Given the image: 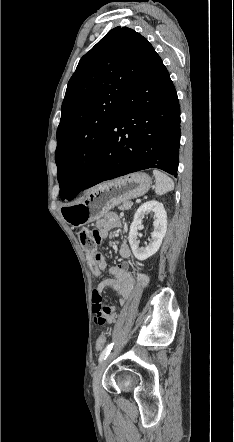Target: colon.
<instances>
[{
	"instance_id": "colon-1",
	"label": "colon",
	"mask_w": 234,
	"mask_h": 442,
	"mask_svg": "<svg viewBox=\"0 0 234 442\" xmlns=\"http://www.w3.org/2000/svg\"><path fill=\"white\" fill-rule=\"evenodd\" d=\"M80 241L81 244L86 252L92 255H97L96 252L97 246L100 243V238L98 235L97 230H89V229H83L80 231ZM92 271L95 275H99L100 268L97 265L92 266ZM92 310L94 314H103V312L106 310V306L102 305V298L101 295L97 292L93 293L92 297ZM104 337H99L96 342L95 350L98 353L103 352Z\"/></svg>"
}]
</instances>
